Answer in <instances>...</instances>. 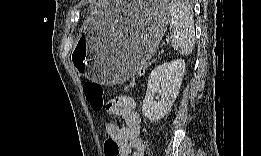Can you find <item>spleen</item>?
Here are the masks:
<instances>
[{"instance_id": "obj_1", "label": "spleen", "mask_w": 261, "mask_h": 156, "mask_svg": "<svg viewBox=\"0 0 261 156\" xmlns=\"http://www.w3.org/2000/svg\"><path fill=\"white\" fill-rule=\"evenodd\" d=\"M171 45L181 55H189L195 45L194 19L191 8L184 1H171Z\"/></svg>"}]
</instances>
